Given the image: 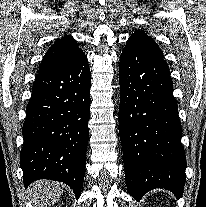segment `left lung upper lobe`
I'll return each instance as SVG.
<instances>
[{"mask_svg":"<svg viewBox=\"0 0 206 207\" xmlns=\"http://www.w3.org/2000/svg\"><path fill=\"white\" fill-rule=\"evenodd\" d=\"M126 46H132L141 51L163 58V53L158 47L157 43L152 40L146 33L136 30L128 39Z\"/></svg>","mask_w":206,"mask_h":207,"instance_id":"5c2ea615","label":"left lung upper lobe"}]
</instances>
